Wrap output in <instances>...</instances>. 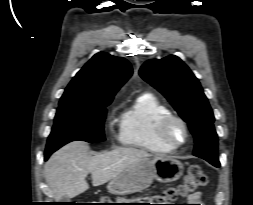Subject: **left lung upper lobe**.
<instances>
[{"label": "left lung upper lobe", "instance_id": "obj_1", "mask_svg": "<svg viewBox=\"0 0 253 205\" xmlns=\"http://www.w3.org/2000/svg\"><path fill=\"white\" fill-rule=\"evenodd\" d=\"M140 76L172 104L188 123L195 139L193 154L219 167L218 137L214 129V115L198 79L177 56L145 62Z\"/></svg>", "mask_w": 253, "mask_h": 205}]
</instances>
